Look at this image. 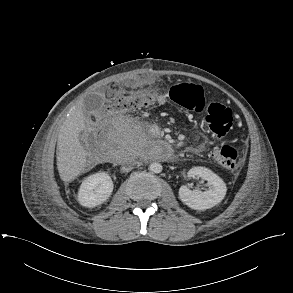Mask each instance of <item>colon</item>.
Masks as SVG:
<instances>
[{
    "mask_svg": "<svg viewBox=\"0 0 293 293\" xmlns=\"http://www.w3.org/2000/svg\"><path fill=\"white\" fill-rule=\"evenodd\" d=\"M170 99L174 104L196 113L203 111L205 107L203 89L193 83H182L174 86L170 91ZM154 102L155 97L151 93L135 92L111 103L108 110L111 113L129 112L148 107ZM205 122L214 135L222 137L232 127V111L224 104L211 103L206 111ZM211 153L213 158L224 168L238 169V153L231 146L215 147Z\"/></svg>",
    "mask_w": 293,
    "mask_h": 293,
    "instance_id": "obj_1",
    "label": "colon"
}]
</instances>
